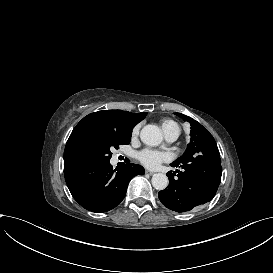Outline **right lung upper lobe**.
Segmentation results:
<instances>
[{
  "mask_svg": "<svg viewBox=\"0 0 273 273\" xmlns=\"http://www.w3.org/2000/svg\"><path fill=\"white\" fill-rule=\"evenodd\" d=\"M146 112L131 113L122 110H102L91 113L84 117L72 131L67 143L74 137V135L84 127H95L102 130L113 131L122 135H131L133 127L140 122L145 116ZM67 145V144H66ZM66 148V147H65ZM81 166L73 163L64 151V175L68 176L76 171Z\"/></svg>",
  "mask_w": 273,
  "mask_h": 273,
  "instance_id": "obj_1",
  "label": "right lung upper lobe"
}]
</instances>
